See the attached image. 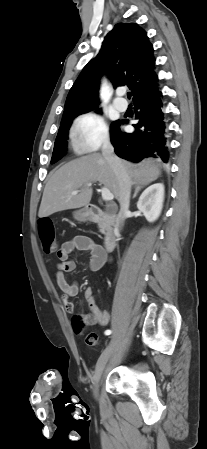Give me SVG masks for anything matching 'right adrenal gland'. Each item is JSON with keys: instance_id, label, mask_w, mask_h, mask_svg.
<instances>
[{"instance_id": "right-adrenal-gland-1", "label": "right adrenal gland", "mask_w": 207, "mask_h": 449, "mask_svg": "<svg viewBox=\"0 0 207 449\" xmlns=\"http://www.w3.org/2000/svg\"><path fill=\"white\" fill-rule=\"evenodd\" d=\"M141 188H142V186L136 187L135 192H134L133 197H132L133 199L137 196V194L141 190Z\"/></svg>"}]
</instances>
